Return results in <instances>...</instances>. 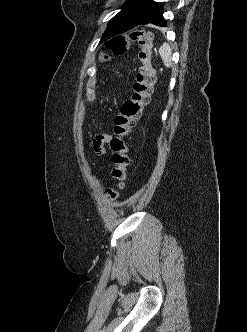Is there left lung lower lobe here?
I'll list each match as a JSON object with an SVG mask.
<instances>
[{
  "instance_id": "1",
  "label": "left lung lower lobe",
  "mask_w": 247,
  "mask_h": 332,
  "mask_svg": "<svg viewBox=\"0 0 247 332\" xmlns=\"http://www.w3.org/2000/svg\"><path fill=\"white\" fill-rule=\"evenodd\" d=\"M163 7L153 0H148L138 11L137 13L128 20L122 28L120 33H124L128 30H135L140 25H146L152 23L159 26H166V21L163 17Z\"/></svg>"
}]
</instances>
